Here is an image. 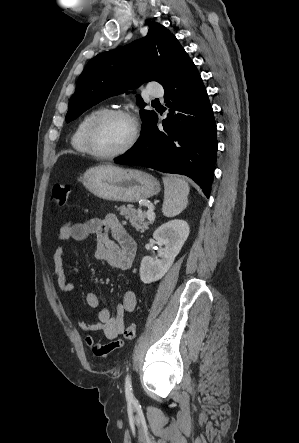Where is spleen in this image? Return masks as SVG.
Segmentation results:
<instances>
[{
  "instance_id": "spleen-1",
  "label": "spleen",
  "mask_w": 299,
  "mask_h": 443,
  "mask_svg": "<svg viewBox=\"0 0 299 443\" xmlns=\"http://www.w3.org/2000/svg\"><path fill=\"white\" fill-rule=\"evenodd\" d=\"M164 183V202L162 212L166 217L180 214L187 206L190 191L188 183L180 178L166 177Z\"/></svg>"
}]
</instances>
